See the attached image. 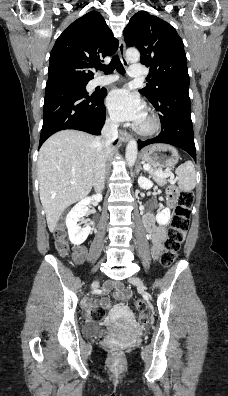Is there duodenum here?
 Returning a JSON list of instances; mask_svg holds the SVG:
<instances>
[{
  "label": "duodenum",
  "mask_w": 228,
  "mask_h": 396,
  "mask_svg": "<svg viewBox=\"0 0 228 396\" xmlns=\"http://www.w3.org/2000/svg\"><path fill=\"white\" fill-rule=\"evenodd\" d=\"M146 225H147V230H148L149 234L151 236H153L155 231L157 230V227L154 225V223L152 221H147Z\"/></svg>",
  "instance_id": "duodenum-1"
}]
</instances>
